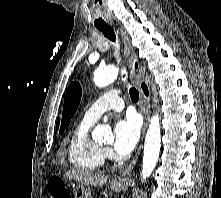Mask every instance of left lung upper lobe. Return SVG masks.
Instances as JSON below:
<instances>
[{"instance_id": "5c2ea615", "label": "left lung upper lobe", "mask_w": 221, "mask_h": 198, "mask_svg": "<svg viewBox=\"0 0 221 198\" xmlns=\"http://www.w3.org/2000/svg\"><path fill=\"white\" fill-rule=\"evenodd\" d=\"M81 99V87L78 82H72L67 89L62 114L60 133L69 125L71 118L77 110Z\"/></svg>"}]
</instances>
